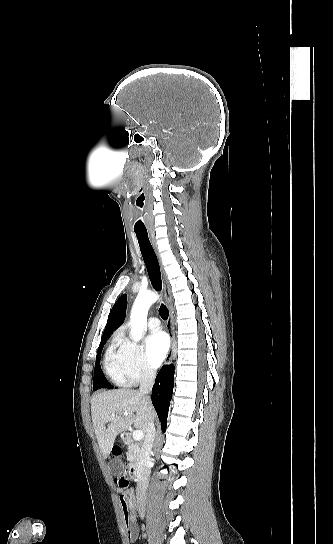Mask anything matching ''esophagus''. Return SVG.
Returning a JSON list of instances; mask_svg holds the SVG:
<instances>
[{"instance_id":"obj_1","label":"esophagus","mask_w":333,"mask_h":544,"mask_svg":"<svg viewBox=\"0 0 333 544\" xmlns=\"http://www.w3.org/2000/svg\"><path fill=\"white\" fill-rule=\"evenodd\" d=\"M150 241H151L152 247H153V249H154V251L156 253V256L158 258V262H159V266H160V272H161V278H162L163 293H164V296H165V299H166V302H167V306H168V311H169V316H168V319L166 321V328H167V330H168V332L170 334L171 346H170V351L168 352V355L166 357V364H170L172 359H173V356H174V354L176 352V341H175V334H174V327H173L172 294H171V289H170V285H169L167 276L165 274V271H164L162 263H161L160 255H159L157 244H156V240H155L153 235H150Z\"/></svg>"}]
</instances>
